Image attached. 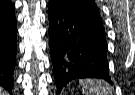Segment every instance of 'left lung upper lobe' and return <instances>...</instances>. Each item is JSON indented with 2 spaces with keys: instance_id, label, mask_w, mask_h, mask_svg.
<instances>
[{
  "instance_id": "1",
  "label": "left lung upper lobe",
  "mask_w": 135,
  "mask_h": 95,
  "mask_svg": "<svg viewBox=\"0 0 135 95\" xmlns=\"http://www.w3.org/2000/svg\"><path fill=\"white\" fill-rule=\"evenodd\" d=\"M49 5L69 15L102 25V18L95 0H50Z\"/></svg>"
}]
</instances>
